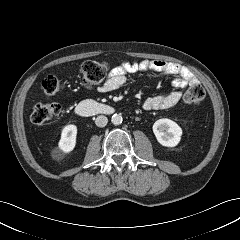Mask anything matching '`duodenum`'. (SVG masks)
I'll use <instances>...</instances> for the list:
<instances>
[{
	"mask_svg": "<svg viewBox=\"0 0 240 240\" xmlns=\"http://www.w3.org/2000/svg\"><path fill=\"white\" fill-rule=\"evenodd\" d=\"M75 111L79 116H89L94 114H112L114 109L107 104L94 100H85L76 106Z\"/></svg>",
	"mask_w": 240,
	"mask_h": 240,
	"instance_id": "obj_1",
	"label": "duodenum"
}]
</instances>
